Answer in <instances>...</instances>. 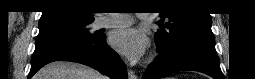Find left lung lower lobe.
<instances>
[{"label": "left lung lower lobe", "mask_w": 255, "mask_h": 79, "mask_svg": "<svg viewBox=\"0 0 255 79\" xmlns=\"http://www.w3.org/2000/svg\"><path fill=\"white\" fill-rule=\"evenodd\" d=\"M146 70L144 79H160L170 73L194 70L224 79L215 50L214 36L186 37L165 51Z\"/></svg>", "instance_id": "0a47b994"}]
</instances>
